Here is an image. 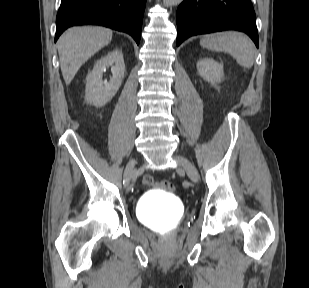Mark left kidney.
<instances>
[{
  "label": "left kidney",
  "instance_id": "1",
  "mask_svg": "<svg viewBox=\"0 0 309 288\" xmlns=\"http://www.w3.org/2000/svg\"><path fill=\"white\" fill-rule=\"evenodd\" d=\"M198 74L211 83L220 82L224 76L223 64L211 58H202L197 63Z\"/></svg>",
  "mask_w": 309,
  "mask_h": 288
}]
</instances>
